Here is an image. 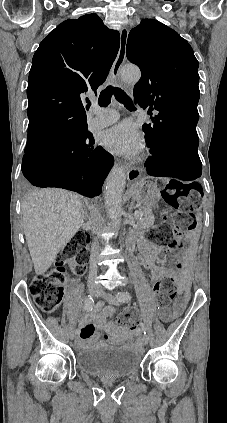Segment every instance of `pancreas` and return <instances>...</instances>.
Here are the masks:
<instances>
[{
    "mask_svg": "<svg viewBox=\"0 0 227 423\" xmlns=\"http://www.w3.org/2000/svg\"><path fill=\"white\" fill-rule=\"evenodd\" d=\"M151 208L152 206H140L139 211L142 217L141 219H138L139 227H148V225H152L154 221V215Z\"/></svg>",
    "mask_w": 227,
    "mask_h": 423,
    "instance_id": "pancreas-1",
    "label": "pancreas"
}]
</instances>
